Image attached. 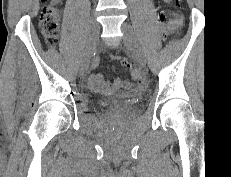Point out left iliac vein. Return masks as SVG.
Returning <instances> with one entry per match:
<instances>
[{"label": "left iliac vein", "mask_w": 231, "mask_h": 177, "mask_svg": "<svg viewBox=\"0 0 231 177\" xmlns=\"http://www.w3.org/2000/svg\"><path fill=\"white\" fill-rule=\"evenodd\" d=\"M122 31L124 33V43L126 46L131 48L138 60V63L140 67H144L146 60H145V55L143 52V49L133 31L131 26L128 23H123L122 24Z\"/></svg>", "instance_id": "obj_1"}]
</instances>
